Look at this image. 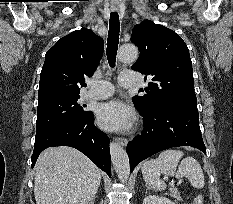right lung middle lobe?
Segmentation results:
<instances>
[{"mask_svg": "<svg viewBox=\"0 0 233 204\" xmlns=\"http://www.w3.org/2000/svg\"><path fill=\"white\" fill-rule=\"evenodd\" d=\"M79 98V95L56 96L39 101L36 136L86 118L91 111L84 110L85 105L78 103Z\"/></svg>", "mask_w": 233, "mask_h": 204, "instance_id": "obj_1", "label": "right lung middle lobe"}]
</instances>
